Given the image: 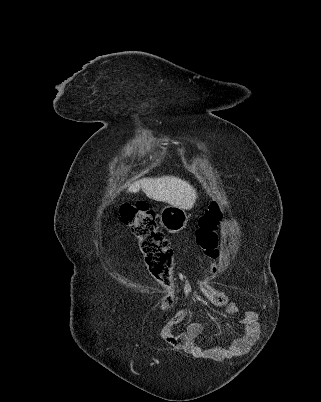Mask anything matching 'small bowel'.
<instances>
[{"label": "small bowel", "instance_id": "obj_1", "mask_svg": "<svg viewBox=\"0 0 321 402\" xmlns=\"http://www.w3.org/2000/svg\"><path fill=\"white\" fill-rule=\"evenodd\" d=\"M186 284L188 280H185ZM228 313L236 315L237 310L232 303L227 305ZM189 310L185 309L175 314L164 327V336L176 348L183 349L186 358H245L251 353L256 344L255 339L260 338V320L252 308L247 307L241 316V326L245 329L244 338H235L234 344H213L199 346L197 341L202 336V325L196 322L189 323L184 332L177 333L176 328L188 317Z\"/></svg>", "mask_w": 321, "mask_h": 402}]
</instances>
